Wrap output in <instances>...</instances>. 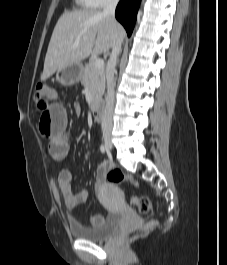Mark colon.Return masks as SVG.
<instances>
[{"label": "colon", "mask_w": 227, "mask_h": 265, "mask_svg": "<svg viewBox=\"0 0 227 265\" xmlns=\"http://www.w3.org/2000/svg\"><path fill=\"white\" fill-rule=\"evenodd\" d=\"M51 96H52V91L48 85L42 83L37 84L35 91V98L37 101L40 116L42 109H47V106H49V99L51 98ZM106 178L109 182L115 184H122L124 182H128L135 186L139 185V182L134 177L126 175L119 170L108 171L106 174ZM131 203L134 206H136L138 210L142 213H147L151 209V203L149 199L146 197L133 196L131 197ZM156 226H157V221H150L145 225L144 230L151 231Z\"/></svg>", "instance_id": "1"}]
</instances>
